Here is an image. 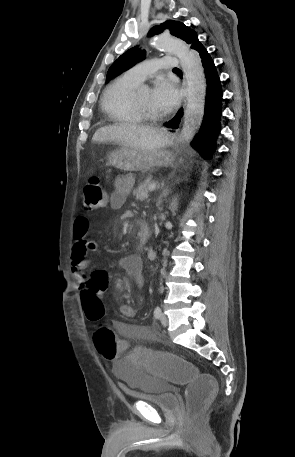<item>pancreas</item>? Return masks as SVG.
<instances>
[{"instance_id":"1","label":"pancreas","mask_w":295,"mask_h":457,"mask_svg":"<svg viewBox=\"0 0 295 457\" xmlns=\"http://www.w3.org/2000/svg\"><path fill=\"white\" fill-rule=\"evenodd\" d=\"M149 185H151V181H145L144 183L140 184L137 189L133 191V195L136 197L137 200L143 201L144 199L148 198Z\"/></svg>"}]
</instances>
